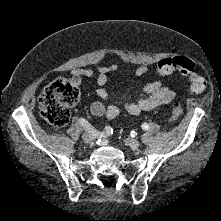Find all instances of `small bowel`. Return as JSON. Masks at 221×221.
<instances>
[{
    "instance_id": "1",
    "label": "small bowel",
    "mask_w": 221,
    "mask_h": 221,
    "mask_svg": "<svg viewBox=\"0 0 221 221\" xmlns=\"http://www.w3.org/2000/svg\"><path fill=\"white\" fill-rule=\"evenodd\" d=\"M119 67V63H112L109 65H99L94 69L77 68L71 71L72 81L75 85H80L83 78H94L98 85L97 95L100 99L108 103L94 102L91 105L93 115L106 116L110 119L119 115L120 108L116 104L109 103L110 94L105 88L108 74L116 71ZM148 71V65H141L134 70L133 74L135 77H141ZM141 91L143 95L136 97L134 100H129L126 96L123 97V105L128 114L138 115L141 112L168 104L174 98V92L160 80L144 85Z\"/></svg>"
}]
</instances>
